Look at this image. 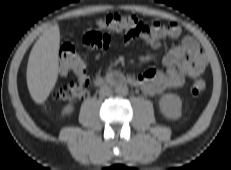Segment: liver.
Instances as JSON below:
<instances>
[{
  "label": "liver",
  "instance_id": "6515ba94",
  "mask_svg": "<svg viewBox=\"0 0 231 170\" xmlns=\"http://www.w3.org/2000/svg\"><path fill=\"white\" fill-rule=\"evenodd\" d=\"M58 24L46 29L34 44L27 65V86L32 99L44 103L55 87L59 68Z\"/></svg>",
  "mask_w": 231,
  "mask_h": 170
}]
</instances>
